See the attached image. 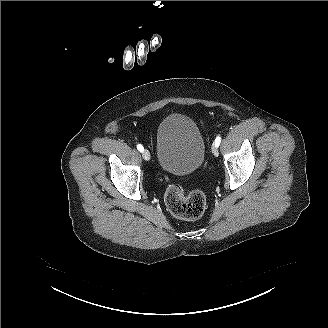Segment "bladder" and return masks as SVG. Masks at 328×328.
<instances>
[{
	"instance_id": "obj_1",
	"label": "bladder",
	"mask_w": 328,
	"mask_h": 328,
	"mask_svg": "<svg viewBox=\"0 0 328 328\" xmlns=\"http://www.w3.org/2000/svg\"><path fill=\"white\" fill-rule=\"evenodd\" d=\"M205 146L195 121L183 114L164 118L157 131V159L161 167L173 174L195 171L202 163Z\"/></svg>"
}]
</instances>
